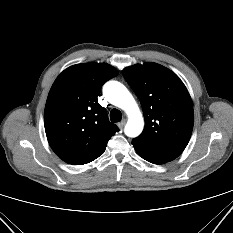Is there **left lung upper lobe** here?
Returning <instances> with one entry per match:
<instances>
[{"label": "left lung upper lobe", "instance_id": "obj_1", "mask_svg": "<svg viewBox=\"0 0 233 233\" xmlns=\"http://www.w3.org/2000/svg\"><path fill=\"white\" fill-rule=\"evenodd\" d=\"M123 76L138 96L145 118L144 130L134 140L185 148L194 113L191 97L180 78L156 63L126 67Z\"/></svg>", "mask_w": 233, "mask_h": 233}]
</instances>
